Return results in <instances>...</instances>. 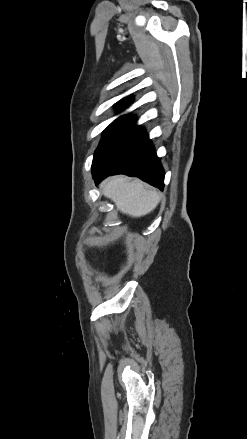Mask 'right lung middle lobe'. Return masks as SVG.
Segmentation results:
<instances>
[{
	"instance_id": "dd1d6c3e",
	"label": "right lung middle lobe",
	"mask_w": 247,
	"mask_h": 439,
	"mask_svg": "<svg viewBox=\"0 0 247 439\" xmlns=\"http://www.w3.org/2000/svg\"><path fill=\"white\" fill-rule=\"evenodd\" d=\"M135 119L123 115L111 123L105 130L103 138L95 151L92 167H97L113 151L125 145L135 135L143 130L134 125Z\"/></svg>"
}]
</instances>
